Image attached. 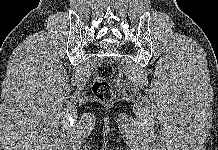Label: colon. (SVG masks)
<instances>
[{"instance_id": "5ec220e1", "label": "colon", "mask_w": 218, "mask_h": 150, "mask_svg": "<svg viewBox=\"0 0 218 150\" xmlns=\"http://www.w3.org/2000/svg\"><path fill=\"white\" fill-rule=\"evenodd\" d=\"M113 74L114 67L110 61L103 60L97 65L92 91L94 96L101 101H110L113 97V90L109 83Z\"/></svg>"}]
</instances>
